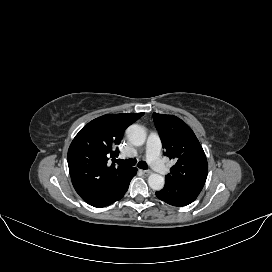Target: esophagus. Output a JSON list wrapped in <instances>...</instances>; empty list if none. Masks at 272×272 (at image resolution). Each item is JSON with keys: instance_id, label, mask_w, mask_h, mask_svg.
I'll list each match as a JSON object with an SVG mask.
<instances>
[{"instance_id": "1", "label": "esophagus", "mask_w": 272, "mask_h": 272, "mask_svg": "<svg viewBox=\"0 0 272 272\" xmlns=\"http://www.w3.org/2000/svg\"><path fill=\"white\" fill-rule=\"evenodd\" d=\"M142 172L144 175H150L152 173L150 170H143Z\"/></svg>"}]
</instances>
